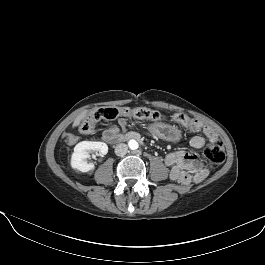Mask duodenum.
<instances>
[{"instance_id":"410a0bca","label":"duodenum","mask_w":265,"mask_h":265,"mask_svg":"<svg viewBox=\"0 0 265 265\" xmlns=\"http://www.w3.org/2000/svg\"><path fill=\"white\" fill-rule=\"evenodd\" d=\"M141 140V136L137 132H129L120 138V142H126L128 140Z\"/></svg>"}]
</instances>
